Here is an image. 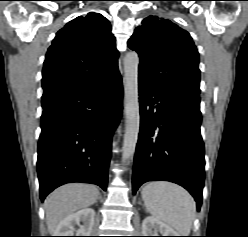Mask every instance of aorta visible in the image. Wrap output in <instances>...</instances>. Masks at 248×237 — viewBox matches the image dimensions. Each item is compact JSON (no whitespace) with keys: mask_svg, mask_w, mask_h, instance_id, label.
<instances>
[{"mask_svg":"<svg viewBox=\"0 0 248 237\" xmlns=\"http://www.w3.org/2000/svg\"><path fill=\"white\" fill-rule=\"evenodd\" d=\"M138 66V54L136 52H128L124 58V98L126 122L122 148L123 162H127L133 157L140 128Z\"/></svg>","mask_w":248,"mask_h":237,"instance_id":"762f6f07","label":"aorta"}]
</instances>
